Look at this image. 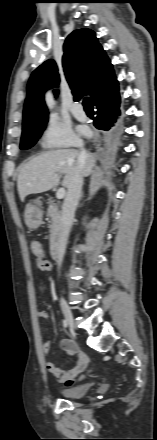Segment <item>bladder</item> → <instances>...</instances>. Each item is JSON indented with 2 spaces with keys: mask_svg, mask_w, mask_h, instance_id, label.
<instances>
[{
  "mask_svg": "<svg viewBox=\"0 0 157 440\" xmlns=\"http://www.w3.org/2000/svg\"><path fill=\"white\" fill-rule=\"evenodd\" d=\"M91 388V384H82L74 387L67 386L61 389L60 394L65 399L75 400L82 398Z\"/></svg>",
  "mask_w": 157,
  "mask_h": 440,
  "instance_id": "31cf9c89",
  "label": "bladder"
}]
</instances>
